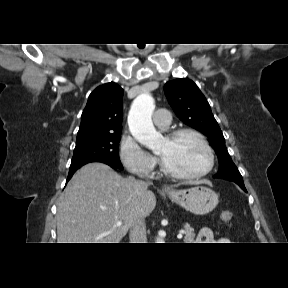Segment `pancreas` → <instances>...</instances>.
Here are the masks:
<instances>
[{
	"label": "pancreas",
	"instance_id": "1",
	"mask_svg": "<svg viewBox=\"0 0 288 288\" xmlns=\"http://www.w3.org/2000/svg\"><path fill=\"white\" fill-rule=\"evenodd\" d=\"M184 243H192L194 241L195 233L194 229L190 226L184 227Z\"/></svg>",
	"mask_w": 288,
	"mask_h": 288
}]
</instances>
